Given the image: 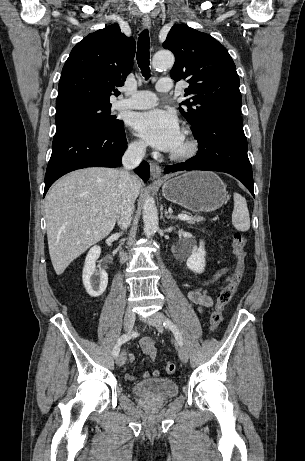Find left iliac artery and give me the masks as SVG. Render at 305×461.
<instances>
[{
    "label": "left iliac artery",
    "instance_id": "44dca946",
    "mask_svg": "<svg viewBox=\"0 0 305 461\" xmlns=\"http://www.w3.org/2000/svg\"><path fill=\"white\" fill-rule=\"evenodd\" d=\"M164 326L168 327L174 334L179 345H183V338L178 330V328L170 321L166 320Z\"/></svg>",
    "mask_w": 305,
    "mask_h": 461
}]
</instances>
